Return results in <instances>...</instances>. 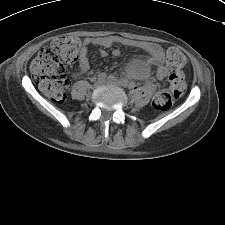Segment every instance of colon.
Wrapping results in <instances>:
<instances>
[{
    "label": "colon",
    "instance_id": "colon-1",
    "mask_svg": "<svg viewBox=\"0 0 225 225\" xmlns=\"http://www.w3.org/2000/svg\"><path fill=\"white\" fill-rule=\"evenodd\" d=\"M79 42L72 36H60L44 46L32 61L30 72L40 91L53 102L65 100L69 88L65 63L76 61ZM187 63L186 56L177 48L166 53V66L158 70V76L169 81V87L158 91L153 98V107L160 111L169 110L179 99L185 87L182 69Z\"/></svg>",
    "mask_w": 225,
    "mask_h": 225
}]
</instances>
